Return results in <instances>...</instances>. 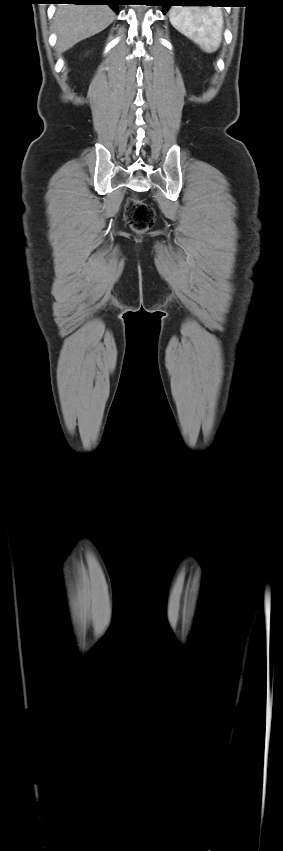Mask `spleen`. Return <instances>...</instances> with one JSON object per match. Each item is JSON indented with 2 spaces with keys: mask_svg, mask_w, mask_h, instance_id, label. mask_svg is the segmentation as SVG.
<instances>
[{
  "mask_svg": "<svg viewBox=\"0 0 283 851\" xmlns=\"http://www.w3.org/2000/svg\"><path fill=\"white\" fill-rule=\"evenodd\" d=\"M170 22L206 53L215 52L221 43L223 15L217 7H172Z\"/></svg>",
  "mask_w": 283,
  "mask_h": 851,
  "instance_id": "1",
  "label": "spleen"
}]
</instances>
